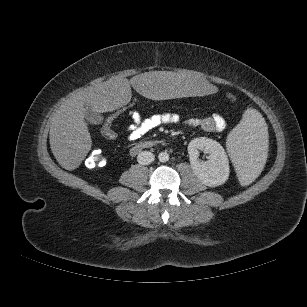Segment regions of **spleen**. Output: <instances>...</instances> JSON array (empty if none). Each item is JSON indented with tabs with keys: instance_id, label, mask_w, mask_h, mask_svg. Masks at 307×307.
Masks as SVG:
<instances>
[{
	"instance_id": "obj_1",
	"label": "spleen",
	"mask_w": 307,
	"mask_h": 307,
	"mask_svg": "<svg viewBox=\"0 0 307 307\" xmlns=\"http://www.w3.org/2000/svg\"><path fill=\"white\" fill-rule=\"evenodd\" d=\"M262 115L248 108L240 123L229 134L228 147L234 159L235 177L244 183L259 180L265 172L269 145Z\"/></svg>"
}]
</instances>
